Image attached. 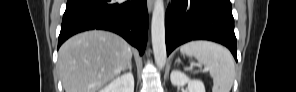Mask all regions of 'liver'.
Listing matches in <instances>:
<instances>
[{"instance_id": "liver-1", "label": "liver", "mask_w": 296, "mask_h": 92, "mask_svg": "<svg viewBox=\"0 0 296 92\" xmlns=\"http://www.w3.org/2000/svg\"><path fill=\"white\" fill-rule=\"evenodd\" d=\"M130 45L100 30L68 39L59 49L57 68L65 92H97L131 62Z\"/></svg>"}]
</instances>
